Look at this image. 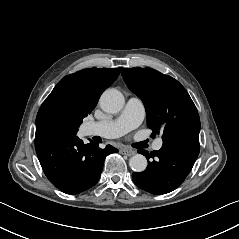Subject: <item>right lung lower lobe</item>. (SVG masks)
<instances>
[{"label": "right lung lower lobe", "mask_w": 239, "mask_h": 239, "mask_svg": "<svg viewBox=\"0 0 239 239\" xmlns=\"http://www.w3.org/2000/svg\"><path fill=\"white\" fill-rule=\"evenodd\" d=\"M84 144L76 135L57 129L36 130L35 148L49 181L67 194H78L93 187L100 178L104 159L117 149H99L91 141Z\"/></svg>", "instance_id": "98d812e1"}]
</instances>
